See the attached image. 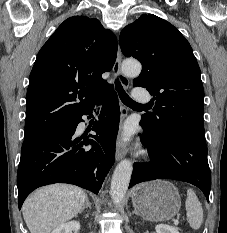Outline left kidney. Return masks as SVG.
<instances>
[{"mask_svg": "<svg viewBox=\"0 0 227 233\" xmlns=\"http://www.w3.org/2000/svg\"><path fill=\"white\" fill-rule=\"evenodd\" d=\"M155 229L157 233H179L177 228L165 224L157 225Z\"/></svg>", "mask_w": 227, "mask_h": 233, "instance_id": "5707ae66", "label": "left kidney"}]
</instances>
